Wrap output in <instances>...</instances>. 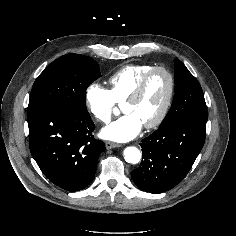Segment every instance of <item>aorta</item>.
<instances>
[{
	"mask_svg": "<svg viewBox=\"0 0 236 236\" xmlns=\"http://www.w3.org/2000/svg\"><path fill=\"white\" fill-rule=\"evenodd\" d=\"M124 159L127 163L137 164L141 160V152L134 146L127 147L124 150Z\"/></svg>",
	"mask_w": 236,
	"mask_h": 236,
	"instance_id": "762f6f07",
	"label": "aorta"
}]
</instances>
